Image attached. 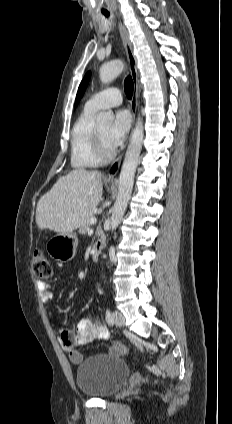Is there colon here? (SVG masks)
Returning a JSON list of instances; mask_svg holds the SVG:
<instances>
[{"label": "colon", "mask_w": 232, "mask_h": 424, "mask_svg": "<svg viewBox=\"0 0 232 424\" xmlns=\"http://www.w3.org/2000/svg\"><path fill=\"white\" fill-rule=\"evenodd\" d=\"M32 270L33 274L41 279H49L52 276V266L44 252L40 249L35 250L33 253ZM110 341L117 352L126 353L129 351L128 343L124 342L123 339H111Z\"/></svg>", "instance_id": "5ec220e1"}]
</instances>
